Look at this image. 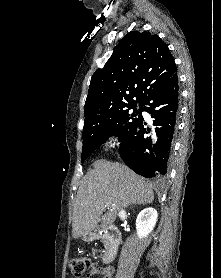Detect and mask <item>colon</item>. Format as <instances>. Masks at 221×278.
Returning a JSON list of instances; mask_svg holds the SVG:
<instances>
[{
    "label": "colon",
    "instance_id": "1",
    "mask_svg": "<svg viewBox=\"0 0 221 278\" xmlns=\"http://www.w3.org/2000/svg\"><path fill=\"white\" fill-rule=\"evenodd\" d=\"M70 267L74 275L78 278H83L88 275L92 269V264L89 258L84 256H76L70 260Z\"/></svg>",
    "mask_w": 221,
    "mask_h": 278
}]
</instances>
